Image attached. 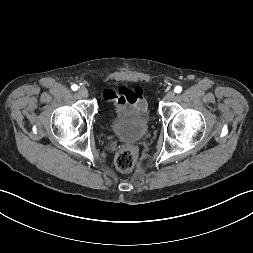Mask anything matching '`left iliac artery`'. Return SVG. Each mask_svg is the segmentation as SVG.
Here are the masks:
<instances>
[{
  "label": "left iliac artery",
  "instance_id": "left-iliac-artery-1",
  "mask_svg": "<svg viewBox=\"0 0 253 253\" xmlns=\"http://www.w3.org/2000/svg\"><path fill=\"white\" fill-rule=\"evenodd\" d=\"M174 91H175V93H180L182 91V87L181 86H176Z\"/></svg>",
  "mask_w": 253,
  "mask_h": 253
}]
</instances>
